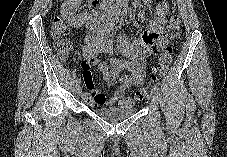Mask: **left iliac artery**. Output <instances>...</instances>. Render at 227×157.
<instances>
[{
    "label": "left iliac artery",
    "mask_w": 227,
    "mask_h": 157,
    "mask_svg": "<svg viewBox=\"0 0 227 157\" xmlns=\"http://www.w3.org/2000/svg\"><path fill=\"white\" fill-rule=\"evenodd\" d=\"M153 90L156 91V92L158 93L159 90H160V89H159V86H158V85H154V86H153Z\"/></svg>",
    "instance_id": "44dca946"
}]
</instances>
